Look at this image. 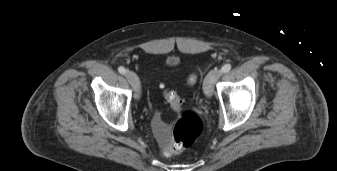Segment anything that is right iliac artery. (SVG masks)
<instances>
[{"mask_svg": "<svg viewBox=\"0 0 337 171\" xmlns=\"http://www.w3.org/2000/svg\"><path fill=\"white\" fill-rule=\"evenodd\" d=\"M118 71H119V73H121V74H126V69L124 68V67H122V66H120L119 68H118Z\"/></svg>", "mask_w": 337, "mask_h": 171, "instance_id": "right-iliac-artery-1", "label": "right iliac artery"}]
</instances>
